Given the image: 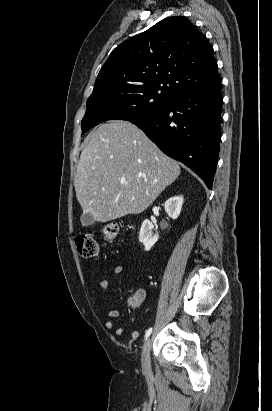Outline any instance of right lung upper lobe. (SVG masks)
I'll list each match as a JSON object with an SVG mask.
<instances>
[{
	"mask_svg": "<svg viewBox=\"0 0 272 411\" xmlns=\"http://www.w3.org/2000/svg\"><path fill=\"white\" fill-rule=\"evenodd\" d=\"M220 79L206 37L187 18L177 16L121 43L99 72L93 92L159 87L176 97Z\"/></svg>",
	"mask_w": 272,
	"mask_h": 411,
	"instance_id": "right-lung-upper-lobe-1",
	"label": "right lung upper lobe"
}]
</instances>
